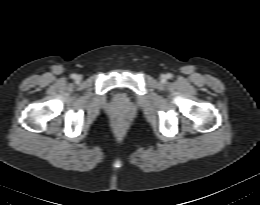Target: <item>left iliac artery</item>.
Masks as SVG:
<instances>
[{
    "instance_id": "1",
    "label": "left iliac artery",
    "mask_w": 260,
    "mask_h": 205,
    "mask_svg": "<svg viewBox=\"0 0 260 205\" xmlns=\"http://www.w3.org/2000/svg\"><path fill=\"white\" fill-rule=\"evenodd\" d=\"M166 76L168 79H171L173 77V75L171 73H168Z\"/></svg>"
}]
</instances>
